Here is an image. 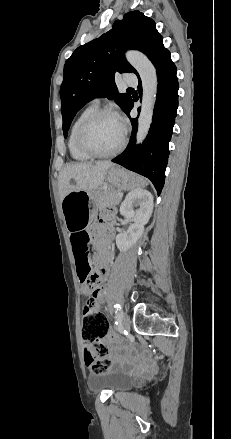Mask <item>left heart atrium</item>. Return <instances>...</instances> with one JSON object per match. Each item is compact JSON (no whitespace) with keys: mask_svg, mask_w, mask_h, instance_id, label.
<instances>
[{"mask_svg":"<svg viewBox=\"0 0 231 439\" xmlns=\"http://www.w3.org/2000/svg\"><path fill=\"white\" fill-rule=\"evenodd\" d=\"M118 122H119L121 128L124 130L125 129V122H124V120L123 119H118Z\"/></svg>","mask_w":231,"mask_h":439,"instance_id":"1","label":"left heart atrium"}]
</instances>
